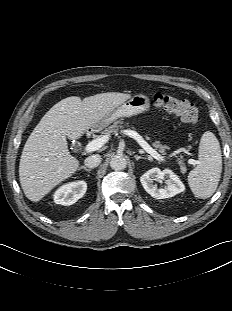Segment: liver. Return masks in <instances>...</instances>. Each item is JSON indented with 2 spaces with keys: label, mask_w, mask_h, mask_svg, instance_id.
<instances>
[{
  "label": "liver",
  "mask_w": 232,
  "mask_h": 311,
  "mask_svg": "<svg viewBox=\"0 0 232 311\" xmlns=\"http://www.w3.org/2000/svg\"><path fill=\"white\" fill-rule=\"evenodd\" d=\"M129 98L130 94L107 92L83 100L71 96L56 103L34 128L22 151L19 179L26 197L38 202L74 174L79 161L70 154L66 138H81Z\"/></svg>",
  "instance_id": "6515ba94"
}]
</instances>
